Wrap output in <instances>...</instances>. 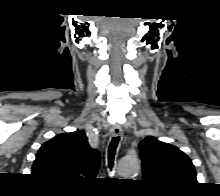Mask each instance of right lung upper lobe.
Returning <instances> with one entry per match:
<instances>
[{"instance_id":"right-lung-upper-lobe-1","label":"right lung upper lobe","mask_w":220,"mask_h":196,"mask_svg":"<svg viewBox=\"0 0 220 196\" xmlns=\"http://www.w3.org/2000/svg\"><path fill=\"white\" fill-rule=\"evenodd\" d=\"M100 166L98 151L90 148L84 131L60 134L44 143L32 167L43 182L73 188L81 180L95 178Z\"/></svg>"}]
</instances>
